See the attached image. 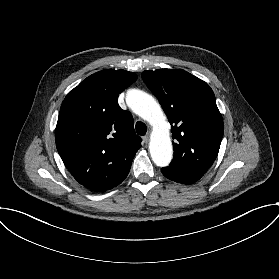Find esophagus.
<instances>
[{
    "instance_id": "34e87169",
    "label": "esophagus",
    "mask_w": 279,
    "mask_h": 279,
    "mask_svg": "<svg viewBox=\"0 0 279 279\" xmlns=\"http://www.w3.org/2000/svg\"><path fill=\"white\" fill-rule=\"evenodd\" d=\"M149 142V135L143 137V143L147 144Z\"/></svg>"
}]
</instances>
